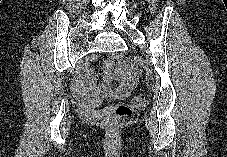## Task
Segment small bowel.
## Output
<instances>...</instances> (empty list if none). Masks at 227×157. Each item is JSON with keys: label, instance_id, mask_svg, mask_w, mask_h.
I'll use <instances>...</instances> for the list:
<instances>
[{"label": "small bowel", "instance_id": "obj_1", "mask_svg": "<svg viewBox=\"0 0 227 157\" xmlns=\"http://www.w3.org/2000/svg\"><path fill=\"white\" fill-rule=\"evenodd\" d=\"M116 57L108 58L103 67L102 81L98 82L91 69H84L72 84L77 100L85 106H94L100 99H122L134 86L138 72L128 64L122 63L113 69ZM116 81V85H111Z\"/></svg>", "mask_w": 227, "mask_h": 157}]
</instances>
